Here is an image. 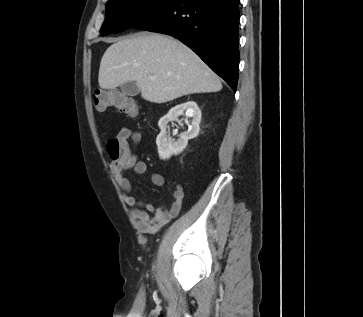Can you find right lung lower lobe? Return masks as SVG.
Returning <instances> with one entry per match:
<instances>
[{
    "instance_id": "1",
    "label": "right lung lower lobe",
    "mask_w": 363,
    "mask_h": 317,
    "mask_svg": "<svg viewBox=\"0 0 363 317\" xmlns=\"http://www.w3.org/2000/svg\"><path fill=\"white\" fill-rule=\"evenodd\" d=\"M240 0H177L133 28L174 36L236 92Z\"/></svg>"
}]
</instances>
